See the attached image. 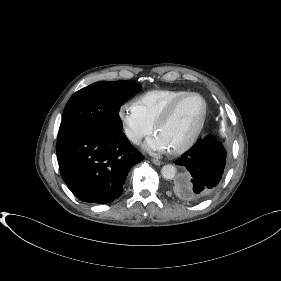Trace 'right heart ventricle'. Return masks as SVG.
I'll use <instances>...</instances> for the list:
<instances>
[{
  "label": "right heart ventricle",
  "instance_id": "right-heart-ventricle-1",
  "mask_svg": "<svg viewBox=\"0 0 281 281\" xmlns=\"http://www.w3.org/2000/svg\"><path fill=\"white\" fill-rule=\"evenodd\" d=\"M185 93L187 91L175 89L150 90L141 94L136 99V103L148 121L154 125L168 104Z\"/></svg>",
  "mask_w": 281,
  "mask_h": 281
}]
</instances>
